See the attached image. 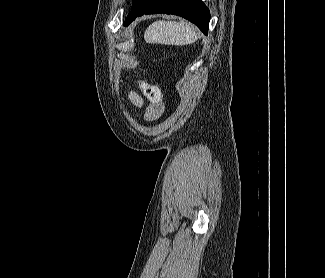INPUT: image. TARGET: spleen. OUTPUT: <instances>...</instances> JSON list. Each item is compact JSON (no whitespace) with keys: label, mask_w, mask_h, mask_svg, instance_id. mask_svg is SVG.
Returning a JSON list of instances; mask_svg holds the SVG:
<instances>
[{"label":"spleen","mask_w":325,"mask_h":278,"mask_svg":"<svg viewBox=\"0 0 325 278\" xmlns=\"http://www.w3.org/2000/svg\"><path fill=\"white\" fill-rule=\"evenodd\" d=\"M144 39L147 43L184 46L197 41L198 34L188 22L159 20L146 29Z\"/></svg>","instance_id":"1"}]
</instances>
